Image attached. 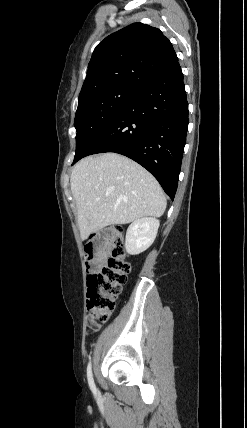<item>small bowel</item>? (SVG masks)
Instances as JSON below:
<instances>
[{
  "label": "small bowel",
  "instance_id": "1",
  "mask_svg": "<svg viewBox=\"0 0 247 428\" xmlns=\"http://www.w3.org/2000/svg\"><path fill=\"white\" fill-rule=\"evenodd\" d=\"M100 328V325H98L94 330H98Z\"/></svg>",
  "mask_w": 247,
  "mask_h": 428
}]
</instances>
